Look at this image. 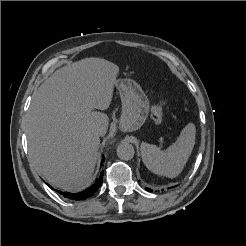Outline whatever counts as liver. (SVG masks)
I'll list each match as a JSON object with an SVG mask.
<instances>
[{"label": "liver", "mask_w": 246, "mask_h": 246, "mask_svg": "<svg viewBox=\"0 0 246 246\" xmlns=\"http://www.w3.org/2000/svg\"><path fill=\"white\" fill-rule=\"evenodd\" d=\"M119 68L101 58H86L62 67L33 93L25 122L29 157L54 187L80 191L92 181L100 136Z\"/></svg>", "instance_id": "liver-1"}]
</instances>
